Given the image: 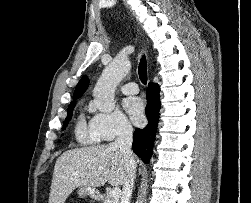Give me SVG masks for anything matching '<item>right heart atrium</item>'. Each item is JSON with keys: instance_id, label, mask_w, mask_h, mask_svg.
I'll list each match as a JSON object with an SVG mask.
<instances>
[{"instance_id": "right-heart-atrium-1", "label": "right heart atrium", "mask_w": 251, "mask_h": 203, "mask_svg": "<svg viewBox=\"0 0 251 203\" xmlns=\"http://www.w3.org/2000/svg\"><path fill=\"white\" fill-rule=\"evenodd\" d=\"M90 127L97 136L105 142L127 136L132 132V126L129 120L120 111L94 113L90 121Z\"/></svg>"}]
</instances>
